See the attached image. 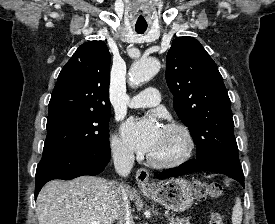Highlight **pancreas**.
Returning <instances> with one entry per match:
<instances>
[{
	"instance_id": "obj_1",
	"label": "pancreas",
	"mask_w": 275,
	"mask_h": 224,
	"mask_svg": "<svg viewBox=\"0 0 275 224\" xmlns=\"http://www.w3.org/2000/svg\"><path fill=\"white\" fill-rule=\"evenodd\" d=\"M191 217H171L169 224H190Z\"/></svg>"
}]
</instances>
